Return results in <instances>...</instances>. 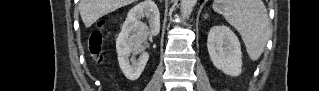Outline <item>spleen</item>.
Returning a JSON list of instances; mask_svg holds the SVG:
<instances>
[{"mask_svg": "<svg viewBox=\"0 0 319 91\" xmlns=\"http://www.w3.org/2000/svg\"><path fill=\"white\" fill-rule=\"evenodd\" d=\"M213 9L240 33L250 59L258 60L270 34L264 3L261 0H216Z\"/></svg>", "mask_w": 319, "mask_h": 91, "instance_id": "obj_1", "label": "spleen"}]
</instances>
